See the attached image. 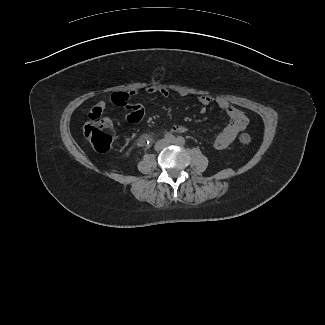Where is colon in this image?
I'll return each instance as SVG.
<instances>
[{
    "mask_svg": "<svg viewBox=\"0 0 325 325\" xmlns=\"http://www.w3.org/2000/svg\"><path fill=\"white\" fill-rule=\"evenodd\" d=\"M114 132V125L110 119L107 118H89V121L84 126V136L92 147L98 152H106L109 150L112 143V135ZM242 144L251 142L249 134H242L239 137Z\"/></svg>",
    "mask_w": 325,
    "mask_h": 325,
    "instance_id": "1",
    "label": "colon"
}]
</instances>
